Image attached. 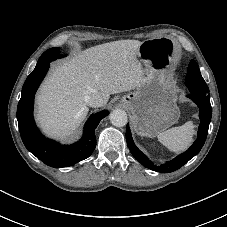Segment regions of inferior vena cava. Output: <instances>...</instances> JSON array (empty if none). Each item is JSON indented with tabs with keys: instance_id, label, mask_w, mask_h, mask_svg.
<instances>
[{
	"instance_id": "inferior-vena-cava-1",
	"label": "inferior vena cava",
	"mask_w": 227,
	"mask_h": 227,
	"mask_svg": "<svg viewBox=\"0 0 227 227\" xmlns=\"http://www.w3.org/2000/svg\"><path fill=\"white\" fill-rule=\"evenodd\" d=\"M86 102L88 106L94 107V108L101 107L105 103L103 97L98 94H93L91 96H88Z\"/></svg>"
}]
</instances>
